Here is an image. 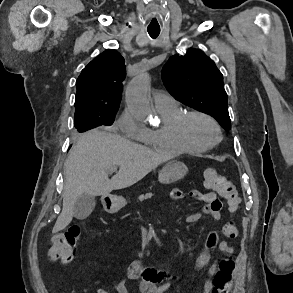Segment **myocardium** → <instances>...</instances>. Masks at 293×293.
Wrapping results in <instances>:
<instances>
[{
    "mask_svg": "<svg viewBox=\"0 0 293 293\" xmlns=\"http://www.w3.org/2000/svg\"><path fill=\"white\" fill-rule=\"evenodd\" d=\"M193 117H201V118H204L207 121H209L216 129V132L218 135L217 139L215 141L208 143V144H205V145H198V144L193 143L190 140V138L188 137V133H187L188 122ZM176 130H177V134H178L179 138L186 145H188L190 148H192L196 151H205V150L212 148L213 146L218 144L222 140V137H223L222 128H221L220 124L218 123V121L214 117H212L211 115H209L203 111H198V110L184 112L177 121Z\"/></svg>",
    "mask_w": 293,
    "mask_h": 293,
    "instance_id": "f54148a6",
    "label": "myocardium"
}]
</instances>
